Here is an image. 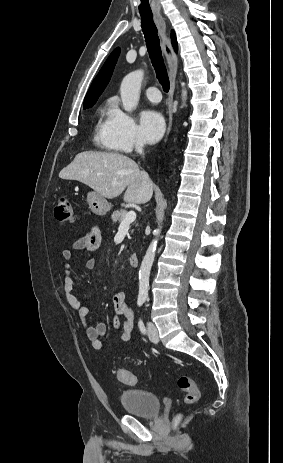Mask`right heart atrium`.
I'll return each instance as SVG.
<instances>
[{"label": "right heart atrium", "mask_w": 283, "mask_h": 463, "mask_svg": "<svg viewBox=\"0 0 283 463\" xmlns=\"http://www.w3.org/2000/svg\"><path fill=\"white\" fill-rule=\"evenodd\" d=\"M109 132L117 148L123 152L140 149L144 145L133 117L117 106L111 110Z\"/></svg>", "instance_id": "right-heart-atrium-1"}]
</instances>
